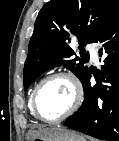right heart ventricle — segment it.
Returning <instances> with one entry per match:
<instances>
[{
    "label": "right heart ventricle",
    "instance_id": "right-heart-ventricle-1",
    "mask_svg": "<svg viewBox=\"0 0 119 141\" xmlns=\"http://www.w3.org/2000/svg\"><path fill=\"white\" fill-rule=\"evenodd\" d=\"M36 86H37V84L33 87L32 91H31V93H30V95H29V98H28V108H29V110H30V112H31L32 114H33V112H32L31 100H32L33 91H34V89H35Z\"/></svg>",
    "mask_w": 119,
    "mask_h": 141
}]
</instances>
